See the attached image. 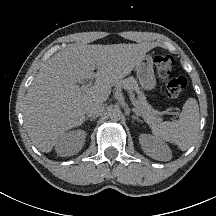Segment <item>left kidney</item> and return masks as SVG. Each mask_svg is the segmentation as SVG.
<instances>
[{
	"mask_svg": "<svg viewBox=\"0 0 216 216\" xmlns=\"http://www.w3.org/2000/svg\"><path fill=\"white\" fill-rule=\"evenodd\" d=\"M139 142L143 151L150 157L160 161H168L171 158L170 148L160 139L148 134H141Z\"/></svg>",
	"mask_w": 216,
	"mask_h": 216,
	"instance_id": "obj_1",
	"label": "left kidney"
}]
</instances>
